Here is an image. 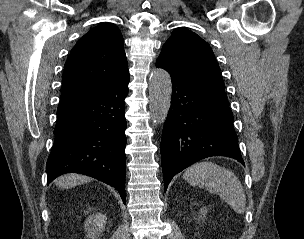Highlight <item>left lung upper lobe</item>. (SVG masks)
I'll use <instances>...</instances> for the list:
<instances>
[{
  "label": "left lung upper lobe",
  "instance_id": "5c2ea615",
  "mask_svg": "<svg viewBox=\"0 0 304 239\" xmlns=\"http://www.w3.org/2000/svg\"><path fill=\"white\" fill-rule=\"evenodd\" d=\"M156 63L186 82L226 98L220 67L210 46L194 32L178 28L163 45Z\"/></svg>",
  "mask_w": 304,
  "mask_h": 239
}]
</instances>
